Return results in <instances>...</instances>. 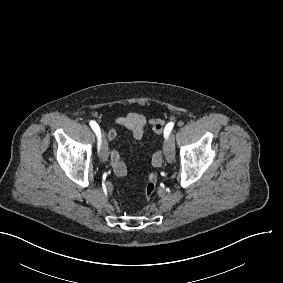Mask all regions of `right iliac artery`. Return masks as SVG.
I'll return each instance as SVG.
<instances>
[{"mask_svg": "<svg viewBox=\"0 0 283 283\" xmlns=\"http://www.w3.org/2000/svg\"><path fill=\"white\" fill-rule=\"evenodd\" d=\"M90 126L93 129V131L96 133L97 137H98V149L100 148V143H101V133H100V127L98 126V124L95 121H90Z\"/></svg>", "mask_w": 283, "mask_h": 283, "instance_id": "right-iliac-artery-1", "label": "right iliac artery"}]
</instances>
